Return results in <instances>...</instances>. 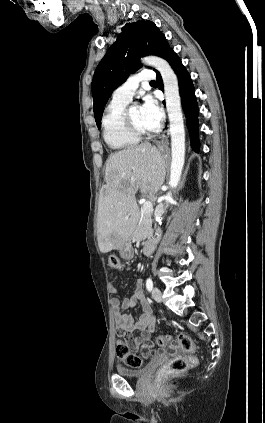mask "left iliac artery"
Instances as JSON below:
<instances>
[{
	"label": "left iliac artery",
	"instance_id": "1",
	"mask_svg": "<svg viewBox=\"0 0 265 423\" xmlns=\"http://www.w3.org/2000/svg\"><path fill=\"white\" fill-rule=\"evenodd\" d=\"M146 288L148 291H151L153 288V281L150 278L146 280Z\"/></svg>",
	"mask_w": 265,
	"mask_h": 423
}]
</instances>
